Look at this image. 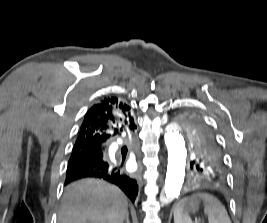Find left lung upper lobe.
<instances>
[{"instance_id":"obj_1","label":"left lung upper lobe","mask_w":267,"mask_h":223,"mask_svg":"<svg viewBox=\"0 0 267 223\" xmlns=\"http://www.w3.org/2000/svg\"><path fill=\"white\" fill-rule=\"evenodd\" d=\"M181 126L193 152L191 168L195 171H226L218 143L207 124L197 115L184 114Z\"/></svg>"}]
</instances>
